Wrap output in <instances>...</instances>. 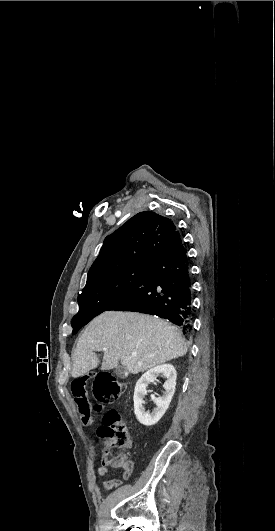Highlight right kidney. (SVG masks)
<instances>
[{"label": "right kidney", "instance_id": "1", "mask_svg": "<svg viewBox=\"0 0 275 531\" xmlns=\"http://www.w3.org/2000/svg\"><path fill=\"white\" fill-rule=\"evenodd\" d=\"M161 373L167 377V381H165L163 385L165 393L163 397H158V399L155 397V395H151V399L154 401L157 407L154 409L153 413H145L143 399L145 395H147V387L149 383H154V381H157V377L158 375H161ZM176 377L177 373L173 365H159V367H153V369H149V371H146V373H144V375L138 379L135 385L133 401L134 413L136 415V419H138L141 425H145V427H152V425H156V423L160 421L161 417H163L164 413H166L171 403V399L175 393Z\"/></svg>", "mask_w": 275, "mask_h": 531}]
</instances>
